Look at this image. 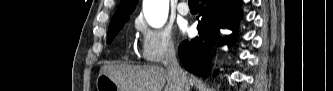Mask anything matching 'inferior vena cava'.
Segmentation results:
<instances>
[{
  "label": "inferior vena cava",
  "mask_w": 333,
  "mask_h": 91,
  "mask_svg": "<svg viewBox=\"0 0 333 91\" xmlns=\"http://www.w3.org/2000/svg\"><path fill=\"white\" fill-rule=\"evenodd\" d=\"M164 66L167 68L172 79L177 81L178 91L190 90L186 75L178 64L174 46H170L168 48L166 58L164 60Z\"/></svg>",
  "instance_id": "inferior-vena-cava-1"
}]
</instances>
